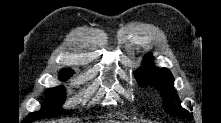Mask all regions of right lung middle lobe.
<instances>
[{
    "label": "right lung middle lobe",
    "mask_w": 221,
    "mask_h": 123,
    "mask_svg": "<svg viewBox=\"0 0 221 123\" xmlns=\"http://www.w3.org/2000/svg\"><path fill=\"white\" fill-rule=\"evenodd\" d=\"M70 76V72L67 70H64V72H61L60 79L64 80L67 79ZM65 100V91L62 87H55L48 90L47 93V99L45 102V106L43 109L39 112L31 113L28 116L29 120H37V119H43L46 117H55L60 114H66L69 111L67 110H60L56 111L55 109L60 107L61 104Z\"/></svg>",
    "instance_id": "dd1d6c3e"
}]
</instances>
